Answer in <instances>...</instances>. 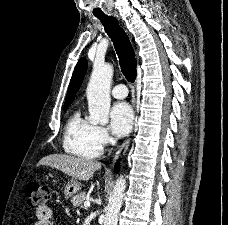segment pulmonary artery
Wrapping results in <instances>:
<instances>
[{"label": "pulmonary artery", "instance_id": "obj_1", "mask_svg": "<svg viewBox=\"0 0 228 225\" xmlns=\"http://www.w3.org/2000/svg\"><path fill=\"white\" fill-rule=\"evenodd\" d=\"M111 94L115 98L123 99L128 95V88L123 84L116 85L115 87L112 88Z\"/></svg>", "mask_w": 228, "mask_h": 225}]
</instances>
